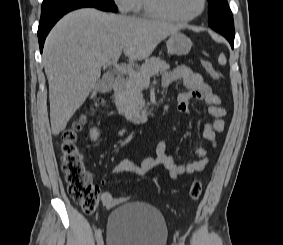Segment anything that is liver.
<instances>
[{"instance_id": "liver-1", "label": "liver", "mask_w": 283, "mask_h": 245, "mask_svg": "<svg viewBox=\"0 0 283 245\" xmlns=\"http://www.w3.org/2000/svg\"><path fill=\"white\" fill-rule=\"evenodd\" d=\"M178 30L169 23L91 8L65 15L49 33L43 51L52 134L59 135L86 99L96 95L105 63L122 51L130 61L144 60Z\"/></svg>"}]
</instances>
